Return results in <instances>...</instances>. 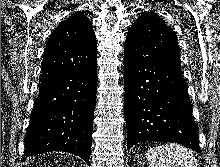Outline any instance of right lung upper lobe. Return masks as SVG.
Returning a JSON list of instances; mask_svg holds the SVG:
<instances>
[{
  "label": "right lung upper lobe",
  "mask_w": 220,
  "mask_h": 167,
  "mask_svg": "<svg viewBox=\"0 0 220 167\" xmlns=\"http://www.w3.org/2000/svg\"><path fill=\"white\" fill-rule=\"evenodd\" d=\"M96 64V37L92 24L78 11L52 32L43 56L41 82Z\"/></svg>",
  "instance_id": "1"
}]
</instances>
